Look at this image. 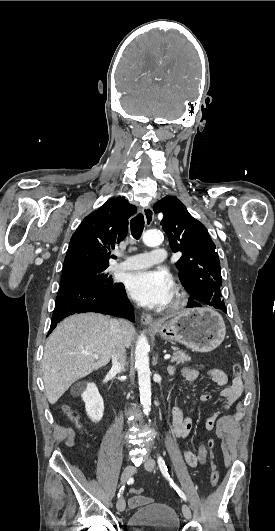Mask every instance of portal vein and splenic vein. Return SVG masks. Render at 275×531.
<instances>
[{"label":"portal vein and splenic vein","mask_w":275,"mask_h":531,"mask_svg":"<svg viewBox=\"0 0 275 531\" xmlns=\"http://www.w3.org/2000/svg\"><path fill=\"white\" fill-rule=\"evenodd\" d=\"M84 355H90L93 359H99L98 355H93V353H84ZM171 355H165L164 359H170Z\"/></svg>","instance_id":"obj_1"}]
</instances>
